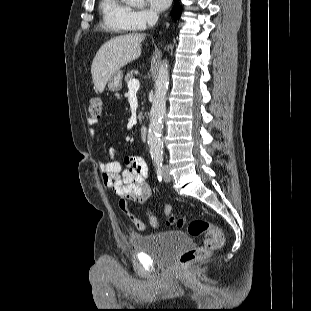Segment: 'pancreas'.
I'll return each instance as SVG.
<instances>
[{
	"mask_svg": "<svg viewBox=\"0 0 311 311\" xmlns=\"http://www.w3.org/2000/svg\"><path fill=\"white\" fill-rule=\"evenodd\" d=\"M134 77H133V73L132 72H128L126 75H125V82L128 84V82L130 81V80H132ZM144 117H143V114H142V112H140L139 113V115H138V119H139V122H141L142 121V119H143Z\"/></svg>",
	"mask_w": 311,
	"mask_h": 311,
	"instance_id": "cf45deb5",
	"label": "pancreas"
}]
</instances>
